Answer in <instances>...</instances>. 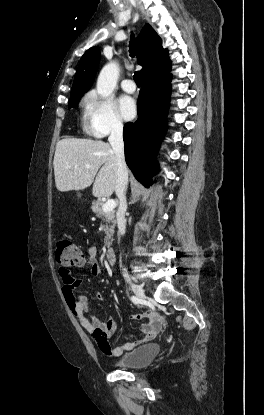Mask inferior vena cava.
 <instances>
[{"label":"inferior vena cava","instance_id":"1","mask_svg":"<svg viewBox=\"0 0 264 415\" xmlns=\"http://www.w3.org/2000/svg\"><path fill=\"white\" fill-rule=\"evenodd\" d=\"M108 140L115 154L117 164L115 193L119 199V207L116 217L118 234L121 236L125 234L126 230L125 212L127 209V203L125 193L128 184V170L124 157L123 125L121 122H116L113 125ZM123 273L126 274V269H123Z\"/></svg>","mask_w":264,"mask_h":415}]
</instances>
